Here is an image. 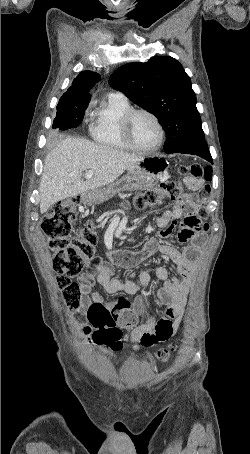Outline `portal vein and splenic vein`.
Instances as JSON below:
<instances>
[{
    "label": "portal vein and splenic vein",
    "mask_w": 250,
    "mask_h": 454,
    "mask_svg": "<svg viewBox=\"0 0 250 454\" xmlns=\"http://www.w3.org/2000/svg\"><path fill=\"white\" fill-rule=\"evenodd\" d=\"M93 174H94L93 171H87V172L84 174V177H85L86 179H90V178L93 177Z\"/></svg>",
    "instance_id": "1"
}]
</instances>
